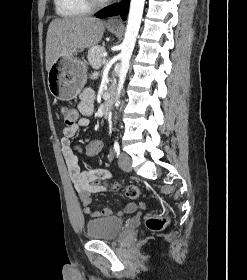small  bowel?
<instances>
[{
  "label": "small bowel",
  "mask_w": 247,
  "mask_h": 280,
  "mask_svg": "<svg viewBox=\"0 0 247 280\" xmlns=\"http://www.w3.org/2000/svg\"><path fill=\"white\" fill-rule=\"evenodd\" d=\"M95 93L91 88H86L80 95L79 111L81 117L75 124L66 126L63 130V138L61 140L62 153L65 158L68 171L74 188L78 195L79 201L84 208V212L91 217H109L112 216L113 211L111 208H103L100 211L93 210L90 207L91 196L95 193L108 191V186H95V181H110L112 174L106 169L95 168L87 171H81L78 165V159L71 147V139L76 135L80 128H86L90 124L89 116L93 112ZM144 204L128 203L120 214L132 212L138 208H142Z\"/></svg>",
  "instance_id": "c3829d8e"
}]
</instances>
